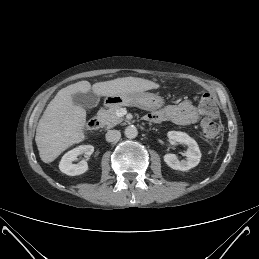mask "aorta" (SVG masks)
<instances>
[{"mask_svg": "<svg viewBox=\"0 0 259 259\" xmlns=\"http://www.w3.org/2000/svg\"><path fill=\"white\" fill-rule=\"evenodd\" d=\"M124 134L127 138L133 139V138L137 137L138 130L134 125H130V126L126 127Z\"/></svg>", "mask_w": 259, "mask_h": 259, "instance_id": "aorta-1", "label": "aorta"}]
</instances>
